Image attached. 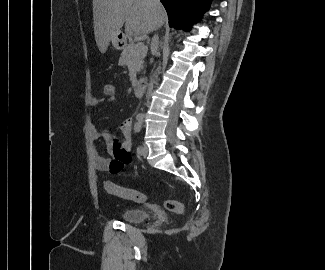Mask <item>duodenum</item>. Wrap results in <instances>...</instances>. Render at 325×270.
<instances>
[{
	"label": "duodenum",
	"mask_w": 325,
	"mask_h": 270,
	"mask_svg": "<svg viewBox=\"0 0 325 270\" xmlns=\"http://www.w3.org/2000/svg\"><path fill=\"white\" fill-rule=\"evenodd\" d=\"M147 80L145 78H140L137 80L134 87V95L137 98H141L147 88Z\"/></svg>",
	"instance_id": "410a0bca"
}]
</instances>
